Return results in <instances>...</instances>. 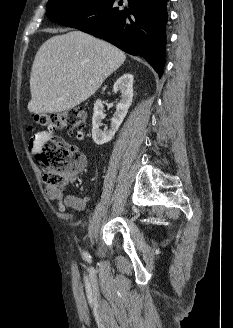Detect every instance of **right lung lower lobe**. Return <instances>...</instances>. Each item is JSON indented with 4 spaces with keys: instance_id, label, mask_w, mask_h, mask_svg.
<instances>
[{
    "instance_id": "right-lung-lower-lobe-1",
    "label": "right lung lower lobe",
    "mask_w": 233,
    "mask_h": 328,
    "mask_svg": "<svg viewBox=\"0 0 233 328\" xmlns=\"http://www.w3.org/2000/svg\"><path fill=\"white\" fill-rule=\"evenodd\" d=\"M168 0H99L56 21L139 55L161 77L165 63Z\"/></svg>"
}]
</instances>
